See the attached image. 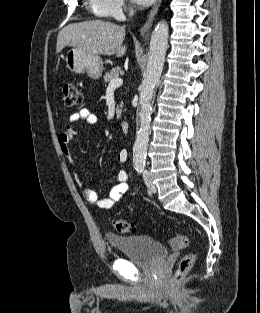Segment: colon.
<instances>
[{
    "instance_id": "5ec220e1",
    "label": "colon",
    "mask_w": 260,
    "mask_h": 313,
    "mask_svg": "<svg viewBox=\"0 0 260 313\" xmlns=\"http://www.w3.org/2000/svg\"><path fill=\"white\" fill-rule=\"evenodd\" d=\"M83 98L80 90L77 85L74 83H66L63 86V104L68 107H77L82 104ZM114 228L117 232L128 234L135 231V227L132 223L123 220V219H114L113 221ZM189 245V237L187 235H180L174 237L171 240V247L173 249H182ZM196 260V253L189 252L185 254L178 263L175 275L174 282H178L183 279L189 271L192 269L194 262Z\"/></svg>"
}]
</instances>
